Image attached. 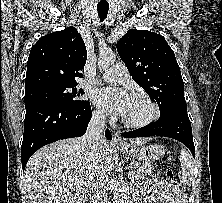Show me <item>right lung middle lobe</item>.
Returning a JSON list of instances; mask_svg holds the SVG:
<instances>
[{"label": "right lung middle lobe", "instance_id": "right-lung-middle-lobe-1", "mask_svg": "<svg viewBox=\"0 0 222 203\" xmlns=\"http://www.w3.org/2000/svg\"><path fill=\"white\" fill-rule=\"evenodd\" d=\"M76 85L45 87L25 92V108L41 103H56L66 106H77L88 103L78 97L84 92L74 88Z\"/></svg>", "mask_w": 222, "mask_h": 203}]
</instances>
